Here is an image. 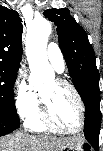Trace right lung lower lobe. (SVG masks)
<instances>
[{"label":"right lung lower lobe","mask_w":103,"mask_h":151,"mask_svg":"<svg viewBox=\"0 0 103 151\" xmlns=\"http://www.w3.org/2000/svg\"><path fill=\"white\" fill-rule=\"evenodd\" d=\"M20 126V121L0 114V136L14 131Z\"/></svg>","instance_id":"98d812e1"}]
</instances>
